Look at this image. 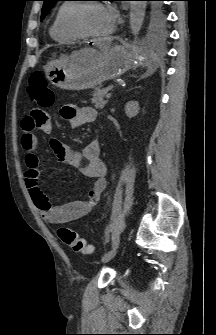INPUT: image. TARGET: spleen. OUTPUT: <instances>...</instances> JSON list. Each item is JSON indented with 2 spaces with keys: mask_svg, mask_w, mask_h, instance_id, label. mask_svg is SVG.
<instances>
[{
  "mask_svg": "<svg viewBox=\"0 0 216 335\" xmlns=\"http://www.w3.org/2000/svg\"><path fill=\"white\" fill-rule=\"evenodd\" d=\"M148 70H149L150 73H153V71H154V67H153L151 61L148 62Z\"/></svg>",
  "mask_w": 216,
  "mask_h": 335,
  "instance_id": "1",
  "label": "spleen"
}]
</instances>
